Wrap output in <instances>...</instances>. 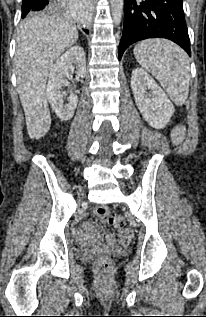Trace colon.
Instances as JSON below:
<instances>
[{"label": "colon", "mask_w": 206, "mask_h": 317, "mask_svg": "<svg viewBox=\"0 0 206 317\" xmlns=\"http://www.w3.org/2000/svg\"><path fill=\"white\" fill-rule=\"evenodd\" d=\"M184 135H185L184 128L182 126L176 127L173 131V134H172L173 142L175 144H180L184 139ZM95 214L101 218H105L106 220H108L109 222H111L117 226L124 225V221L121 217L110 216L108 209L104 206L96 207ZM94 264H95L96 269L101 271V272H107L113 268L112 259L106 255H98L95 258Z\"/></svg>", "instance_id": "5ec220e1"}]
</instances>
